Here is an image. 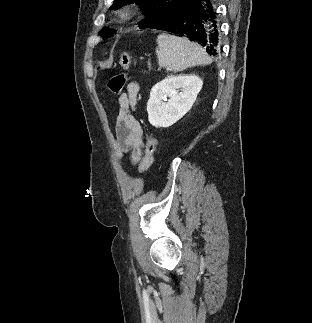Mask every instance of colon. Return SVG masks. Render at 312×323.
<instances>
[{"label": "colon", "instance_id": "5ec220e1", "mask_svg": "<svg viewBox=\"0 0 312 323\" xmlns=\"http://www.w3.org/2000/svg\"><path fill=\"white\" fill-rule=\"evenodd\" d=\"M120 71L114 73L107 83L109 92L113 95H119L122 93L126 86V75L125 73L130 68V56L128 54H121L119 57ZM156 147V139L152 135H148L146 138V148L142 163L139 167L140 173H145L153 164L154 153Z\"/></svg>", "mask_w": 312, "mask_h": 323}]
</instances>
